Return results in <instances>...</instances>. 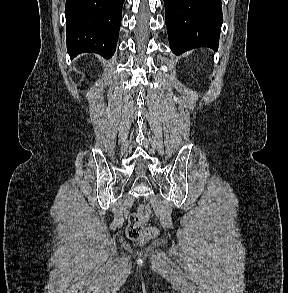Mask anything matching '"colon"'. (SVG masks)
<instances>
[{"label": "colon", "mask_w": 288, "mask_h": 293, "mask_svg": "<svg viewBox=\"0 0 288 293\" xmlns=\"http://www.w3.org/2000/svg\"><path fill=\"white\" fill-rule=\"evenodd\" d=\"M151 210L146 204H141L137 210L132 213L128 220L126 228L127 237L136 242H146L157 236L155 228L145 227L144 223L150 218Z\"/></svg>", "instance_id": "1"}]
</instances>
